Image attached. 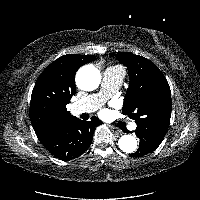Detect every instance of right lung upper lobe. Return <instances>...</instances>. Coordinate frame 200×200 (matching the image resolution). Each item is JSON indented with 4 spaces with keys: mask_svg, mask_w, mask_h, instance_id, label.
<instances>
[{
    "mask_svg": "<svg viewBox=\"0 0 200 200\" xmlns=\"http://www.w3.org/2000/svg\"><path fill=\"white\" fill-rule=\"evenodd\" d=\"M94 55L67 54L52 62L38 77L31 95L30 120L37 137L54 124L74 117L66 109L76 93L75 73L95 60Z\"/></svg>",
    "mask_w": 200,
    "mask_h": 200,
    "instance_id": "obj_1",
    "label": "right lung upper lobe"
}]
</instances>
